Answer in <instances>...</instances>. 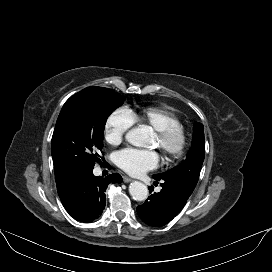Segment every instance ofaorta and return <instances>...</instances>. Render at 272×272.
I'll list each match as a JSON object with an SVG mask.
<instances>
[{"mask_svg": "<svg viewBox=\"0 0 272 272\" xmlns=\"http://www.w3.org/2000/svg\"><path fill=\"white\" fill-rule=\"evenodd\" d=\"M127 142L134 146L142 147L146 143V134L142 129L135 128L127 132L125 136ZM129 193L136 201H144L148 197V188L145 184L134 181L129 186Z\"/></svg>", "mask_w": 272, "mask_h": 272, "instance_id": "762f6f07", "label": "aorta"}]
</instances>
